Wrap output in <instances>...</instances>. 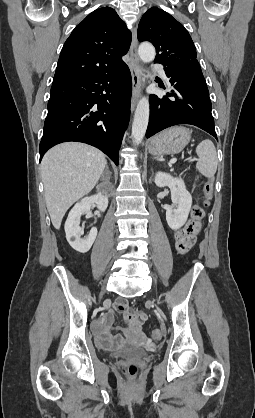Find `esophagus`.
<instances>
[{"label":"esophagus","instance_id":"1","mask_svg":"<svg viewBox=\"0 0 255 418\" xmlns=\"http://www.w3.org/2000/svg\"><path fill=\"white\" fill-rule=\"evenodd\" d=\"M137 47H138V41H137V34L136 29L133 30L132 33V42L130 46V62H129V68L131 71L132 76V99H131V108L134 110L138 99L141 94L142 89V73H141V67L140 62L137 54Z\"/></svg>","mask_w":255,"mask_h":418}]
</instances>
